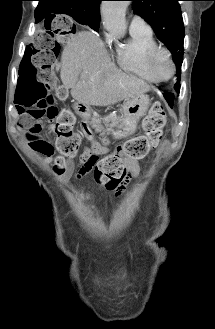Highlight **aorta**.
Instances as JSON below:
<instances>
[{"mask_svg":"<svg viewBox=\"0 0 215 329\" xmlns=\"http://www.w3.org/2000/svg\"><path fill=\"white\" fill-rule=\"evenodd\" d=\"M127 1H104L101 6V15L104 27L113 35L122 37L127 26L125 12Z\"/></svg>","mask_w":215,"mask_h":329,"instance_id":"762f6f07","label":"aorta"}]
</instances>
